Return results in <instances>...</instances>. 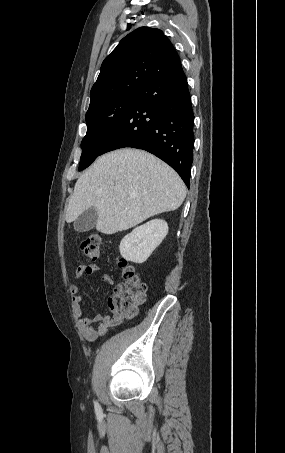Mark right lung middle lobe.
I'll return each instance as SVG.
<instances>
[{"label":"right lung middle lobe","mask_w":285,"mask_h":453,"mask_svg":"<svg viewBox=\"0 0 285 453\" xmlns=\"http://www.w3.org/2000/svg\"><path fill=\"white\" fill-rule=\"evenodd\" d=\"M139 95L140 91L125 93L88 109L87 133L81 142L82 155L79 171L87 168L102 154L105 144L115 133Z\"/></svg>","instance_id":"1"}]
</instances>
